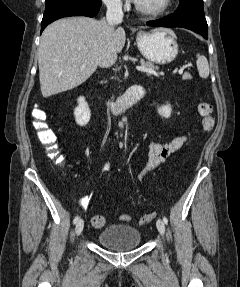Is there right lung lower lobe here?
<instances>
[{"label": "right lung lower lobe", "mask_w": 240, "mask_h": 287, "mask_svg": "<svg viewBox=\"0 0 240 287\" xmlns=\"http://www.w3.org/2000/svg\"><path fill=\"white\" fill-rule=\"evenodd\" d=\"M101 5V0H46L41 32L48 24L63 17H93L99 12Z\"/></svg>", "instance_id": "1"}]
</instances>
